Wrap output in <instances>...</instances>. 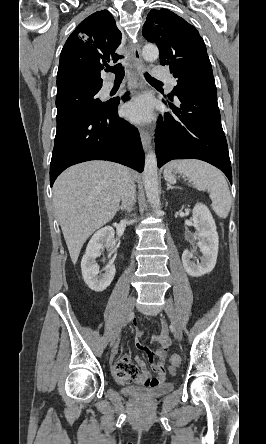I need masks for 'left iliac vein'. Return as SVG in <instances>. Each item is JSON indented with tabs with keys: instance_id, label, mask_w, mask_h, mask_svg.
<instances>
[{
	"instance_id": "1",
	"label": "left iliac vein",
	"mask_w": 266,
	"mask_h": 444,
	"mask_svg": "<svg viewBox=\"0 0 266 444\" xmlns=\"http://www.w3.org/2000/svg\"><path fill=\"white\" fill-rule=\"evenodd\" d=\"M164 309H165V312L167 313L168 317L171 320L174 335L177 337L178 340H181L182 339V328H181L177 313H176L171 301H169V300L166 301Z\"/></svg>"
}]
</instances>
